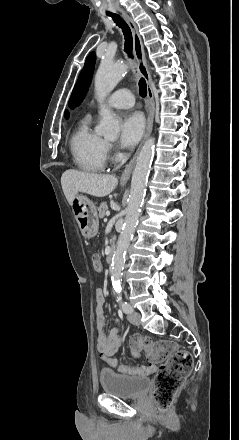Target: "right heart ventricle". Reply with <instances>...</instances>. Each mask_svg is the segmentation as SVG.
Returning a JSON list of instances; mask_svg holds the SVG:
<instances>
[{
    "label": "right heart ventricle",
    "mask_w": 239,
    "mask_h": 440,
    "mask_svg": "<svg viewBox=\"0 0 239 440\" xmlns=\"http://www.w3.org/2000/svg\"><path fill=\"white\" fill-rule=\"evenodd\" d=\"M69 150L74 165L80 170L97 173L106 167L105 142L90 131L88 119L72 132Z\"/></svg>",
    "instance_id": "1"
}]
</instances>
